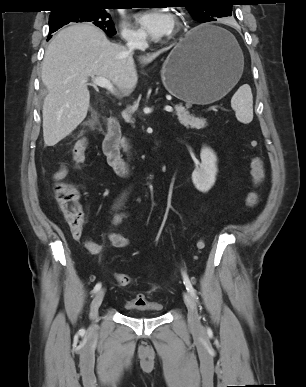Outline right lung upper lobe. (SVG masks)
<instances>
[{
	"label": "right lung upper lobe",
	"instance_id": "1",
	"mask_svg": "<svg viewBox=\"0 0 306 387\" xmlns=\"http://www.w3.org/2000/svg\"><path fill=\"white\" fill-rule=\"evenodd\" d=\"M56 9L52 12H56L61 8L71 7V6H109L112 0H55Z\"/></svg>",
	"mask_w": 306,
	"mask_h": 387
}]
</instances>
